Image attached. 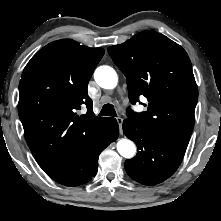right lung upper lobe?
I'll return each mask as SVG.
<instances>
[{"instance_id": "1", "label": "right lung upper lobe", "mask_w": 221, "mask_h": 221, "mask_svg": "<svg viewBox=\"0 0 221 221\" xmlns=\"http://www.w3.org/2000/svg\"><path fill=\"white\" fill-rule=\"evenodd\" d=\"M104 55L102 48L74 40L54 41L28 62L19 83L18 113L27 144L46 170L69 155L101 126L88 96V82ZM86 106L87 113L76 115Z\"/></svg>"}]
</instances>
